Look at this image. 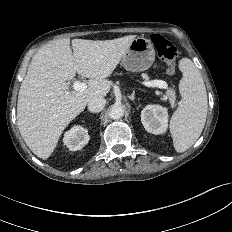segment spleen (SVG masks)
Listing matches in <instances>:
<instances>
[{
	"label": "spleen",
	"instance_id": "1",
	"mask_svg": "<svg viewBox=\"0 0 232 232\" xmlns=\"http://www.w3.org/2000/svg\"><path fill=\"white\" fill-rule=\"evenodd\" d=\"M183 73L179 90L180 107L170 120V132L174 148L182 153L189 149L201 135L207 117V93L203 78L189 58L179 61Z\"/></svg>",
	"mask_w": 232,
	"mask_h": 232
}]
</instances>
